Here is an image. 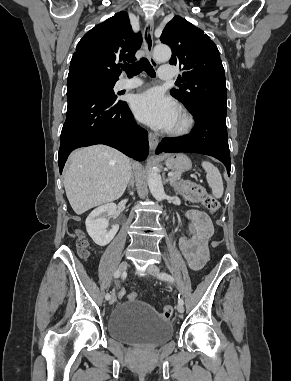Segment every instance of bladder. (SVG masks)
<instances>
[{
  "mask_svg": "<svg viewBox=\"0 0 291 381\" xmlns=\"http://www.w3.org/2000/svg\"><path fill=\"white\" fill-rule=\"evenodd\" d=\"M107 331L116 341L155 347L172 337L173 327L148 302L135 299L121 302L111 311Z\"/></svg>",
  "mask_w": 291,
  "mask_h": 381,
  "instance_id": "1",
  "label": "bladder"
}]
</instances>
